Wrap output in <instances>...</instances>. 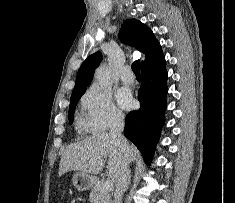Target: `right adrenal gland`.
Masks as SVG:
<instances>
[{
  "label": "right adrenal gland",
  "instance_id": "obj_1",
  "mask_svg": "<svg viewBox=\"0 0 235 203\" xmlns=\"http://www.w3.org/2000/svg\"><path fill=\"white\" fill-rule=\"evenodd\" d=\"M131 184V175L129 174V177H128V182H127V187L126 189H128L129 185Z\"/></svg>",
  "mask_w": 235,
  "mask_h": 203
}]
</instances>
